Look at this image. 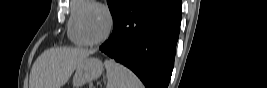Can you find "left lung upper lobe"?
<instances>
[{"mask_svg": "<svg viewBox=\"0 0 267 88\" xmlns=\"http://www.w3.org/2000/svg\"><path fill=\"white\" fill-rule=\"evenodd\" d=\"M129 0H107L113 21L117 19Z\"/></svg>", "mask_w": 267, "mask_h": 88, "instance_id": "1", "label": "left lung upper lobe"}]
</instances>
